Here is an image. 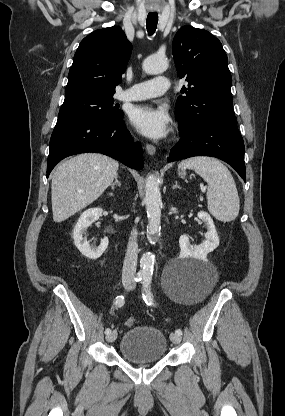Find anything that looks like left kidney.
I'll use <instances>...</instances> for the list:
<instances>
[{"label":"left kidney","instance_id":"left-kidney-1","mask_svg":"<svg viewBox=\"0 0 285 416\" xmlns=\"http://www.w3.org/2000/svg\"><path fill=\"white\" fill-rule=\"evenodd\" d=\"M199 220H203L206 222L208 226V232L204 234L206 240L200 246H192L189 242L188 236H180L179 238V246L181 248V252H185L188 256H195V258H206L209 252H213L219 246V238L216 232V228L214 226V222L207 214V212H198Z\"/></svg>","mask_w":285,"mask_h":416}]
</instances>
